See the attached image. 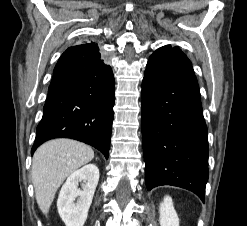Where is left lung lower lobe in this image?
Returning a JSON list of instances; mask_svg holds the SVG:
<instances>
[{
	"mask_svg": "<svg viewBox=\"0 0 247 226\" xmlns=\"http://www.w3.org/2000/svg\"><path fill=\"white\" fill-rule=\"evenodd\" d=\"M142 142L148 190L173 185L204 201L208 136L192 64L166 45L147 63L142 82Z\"/></svg>",
	"mask_w": 247,
	"mask_h": 226,
	"instance_id": "0a47b994",
	"label": "left lung lower lobe"
}]
</instances>
